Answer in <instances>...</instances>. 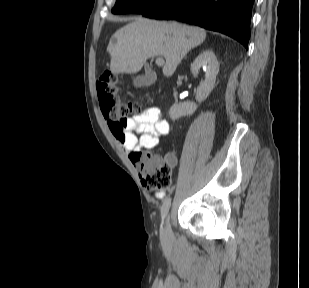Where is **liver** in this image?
<instances>
[{
  "label": "liver",
  "mask_w": 309,
  "mask_h": 288,
  "mask_svg": "<svg viewBox=\"0 0 309 288\" xmlns=\"http://www.w3.org/2000/svg\"><path fill=\"white\" fill-rule=\"evenodd\" d=\"M206 31L177 22H159L141 17L117 30L108 53L114 74L139 72L146 60L163 56V74L170 77L187 53L202 44Z\"/></svg>",
  "instance_id": "6515ba94"
}]
</instances>
